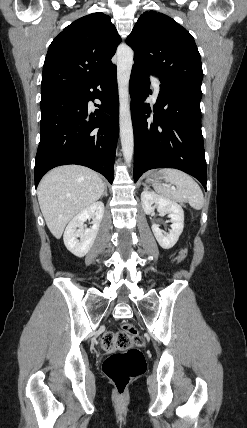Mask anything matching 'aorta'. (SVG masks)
Listing matches in <instances>:
<instances>
[{"instance_id": "1", "label": "aorta", "mask_w": 247, "mask_h": 428, "mask_svg": "<svg viewBox=\"0 0 247 428\" xmlns=\"http://www.w3.org/2000/svg\"><path fill=\"white\" fill-rule=\"evenodd\" d=\"M133 50L124 45L117 51V82L119 94V125L124 160L130 164L134 151V135L129 106V80L133 65Z\"/></svg>"}]
</instances>
